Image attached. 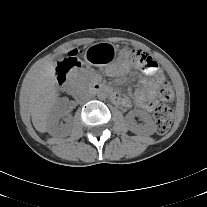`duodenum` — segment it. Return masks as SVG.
<instances>
[{
	"label": "duodenum",
	"instance_id": "duodenum-1",
	"mask_svg": "<svg viewBox=\"0 0 207 207\" xmlns=\"http://www.w3.org/2000/svg\"><path fill=\"white\" fill-rule=\"evenodd\" d=\"M91 89L93 91H96V92H107L109 91L112 95V97L114 98L115 96V93L110 91L105 85L99 83V82H94L92 85H91ZM67 90L71 93H74L76 91L75 87L73 85H69L67 86Z\"/></svg>",
	"mask_w": 207,
	"mask_h": 207
}]
</instances>
